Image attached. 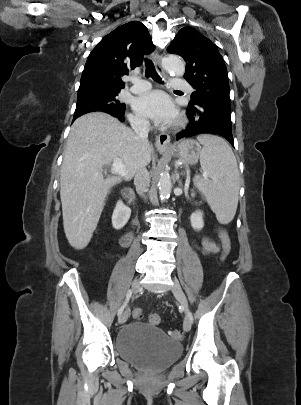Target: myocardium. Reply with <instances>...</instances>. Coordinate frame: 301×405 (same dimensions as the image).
Segmentation results:
<instances>
[{
  "instance_id": "f54148a6",
  "label": "myocardium",
  "mask_w": 301,
  "mask_h": 405,
  "mask_svg": "<svg viewBox=\"0 0 301 405\" xmlns=\"http://www.w3.org/2000/svg\"><path fill=\"white\" fill-rule=\"evenodd\" d=\"M183 125V121H178L177 123H176V125H175V127L174 128H179V127H181Z\"/></svg>"
}]
</instances>
